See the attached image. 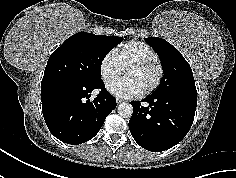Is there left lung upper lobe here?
<instances>
[{"instance_id":"left-lung-upper-lobe-1","label":"left lung upper lobe","mask_w":236,"mask_h":178,"mask_svg":"<svg viewBox=\"0 0 236 178\" xmlns=\"http://www.w3.org/2000/svg\"><path fill=\"white\" fill-rule=\"evenodd\" d=\"M145 40L159 55L164 71L162 82L153 94L197 96L191 67L182 54L164 39L149 37Z\"/></svg>"}]
</instances>
